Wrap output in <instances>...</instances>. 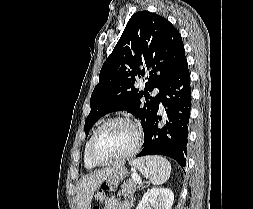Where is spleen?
<instances>
[{"instance_id":"spleen-1","label":"spleen","mask_w":253,"mask_h":209,"mask_svg":"<svg viewBox=\"0 0 253 209\" xmlns=\"http://www.w3.org/2000/svg\"><path fill=\"white\" fill-rule=\"evenodd\" d=\"M154 185L165 183L171 174L170 162L161 156H146L130 162Z\"/></svg>"}]
</instances>
